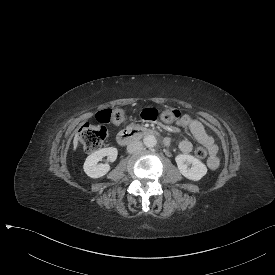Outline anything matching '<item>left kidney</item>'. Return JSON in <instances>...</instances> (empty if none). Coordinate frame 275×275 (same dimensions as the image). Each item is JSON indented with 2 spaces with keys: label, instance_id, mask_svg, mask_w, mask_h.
<instances>
[{
  "label": "left kidney",
  "instance_id": "5707ae66",
  "mask_svg": "<svg viewBox=\"0 0 275 275\" xmlns=\"http://www.w3.org/2000/svg\"><path fill=\"white\" fill-rule=\"evenodd\" d=\"M175 161L180 173L190 180L198 181L207 173L206 165L191 155H177Z\"/></svg>",
  "mask_w": 275,
  "mask_h": 275
}]
</instances>
